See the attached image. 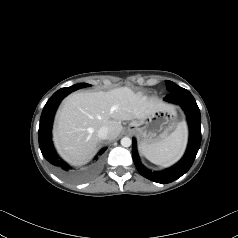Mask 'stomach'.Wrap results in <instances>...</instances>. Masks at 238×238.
Returning <instances> with one entry per match:
<instances>
[{
    "label": "stomach",
    "mask_w": 238,
    "mask_h": 238,
    "mask_svg": "<svg viewBox=\"0 0 238 238\" xmlns=\"http://www.w3.org/2000/svg\"><path fill=\"white\" fill-rule=\"evenodd\" d=\"M177 125V113L171 106L156 110L142 119L133 120L129 129L147 147L165 139Z\"/></svg>",
    "instance_id": "1"
}]
</instances>
